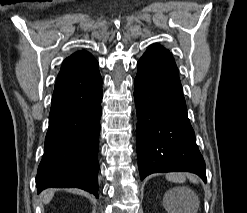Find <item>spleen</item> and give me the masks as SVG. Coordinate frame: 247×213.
Listing matches in <instances>:
<instances>
[{
	"mask_svg": "<svg viewBox=\"0 0 247 213\" xmlns=\"http://www.w3.org/2000/svg\"><path fill=\"white\" fill-rule=\"evenodd\" d=\"M186 176L189 178V180L193 183H198V180L195 176L193 175H189V174H182V173H171V174H167L166 178L168 181L171 182H176V183H183L186 179ZM173 191H170L168 193V196H172ZM182 201H174V203L176 205H173L172 203L168 205V210L170 213H176V206H178L177 204H182ZM192 213H195V210L191 211ZM178 213V212H177Z\"/></svg>",
	"mask_w": 247,
	"mask_h": 213,
	"instance_id": "obj_1",
	"label": "spleen"
}]
</instances>
